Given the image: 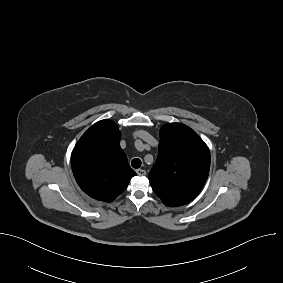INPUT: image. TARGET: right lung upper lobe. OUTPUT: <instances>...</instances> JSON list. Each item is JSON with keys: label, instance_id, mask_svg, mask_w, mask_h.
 <instances>
[{"label": "right lung upper lobe", "instance_id": "cb5924a9", "mask_svg": "<svg viewBox=\"0 0 283 283\" xmlns=\"http://www.w3.org/2000/svg\"><path fill=\"white\" fill-rule=\"evenodd\" d=\"M120 137L113 121L101 120L83 134L72 151L74 177L80 188L96 200L113 201L136 175L119 145Z\"/></svg>", "mask_w": 283, "mask_h": 283}]
</instances>
